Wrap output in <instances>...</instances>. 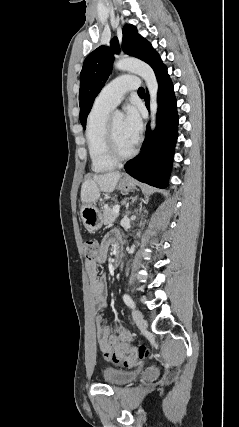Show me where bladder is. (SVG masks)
I'll list each match as a JSON object with an SVG mask.
<instances>
[{
    "mask_svg": "<svg viewBox=\"0 0 239 427\" xmlns=\"http://www.w3.org/2000/svg\"><path fill=\"white\" fill-rule=\"evenodd\" d=\"M138 371L107 368L103 371V380L113 386H120L134 381Z\"/></svg>",
    "mask_w": 239,
    "mask_h": 427,
    "instance_id": "1",
    "label": "bladder"
}]
</instances>
